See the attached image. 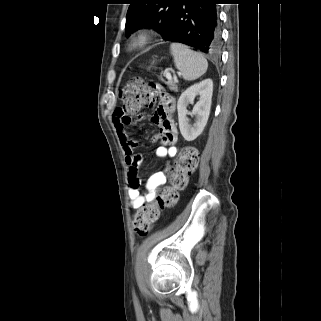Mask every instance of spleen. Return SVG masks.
<instances>
[{
    "label": "spleen",
    "mask_w": 321,
    "mask_h": 321,
    "mask_svg": "<svg viewBox=\"0 0 321 321\" xmlns=\"http://www.w3.org/2000/svg\"><path fill=\"white\" fill-rule=\"evenodd\" d=\"M170 50L175 67L186 81H193L204 75L208 68L205 57L181 43H172Z\"/></svg>",
    "instance_id": "1"
}]
</instances>
